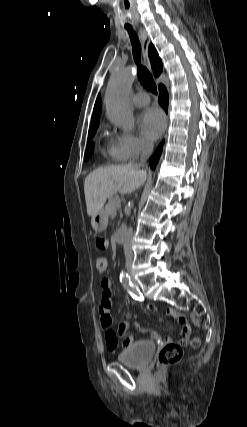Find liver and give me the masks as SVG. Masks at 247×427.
<instances>
[{
  "instance_id": "obj_1",
  "label": "liver",
  "mask_w": 247,
  "mask_h": 427,
  "mask_svg": "<svg viewBox=\"0 0 247 427\" xmlns=\"http://www.w3.org/2000/svg\"><path fill=\"white\" fill-rule=\"evenodd\" d=\"M146 178V171L134 164L97 168L84 181L87 214L93 218L109 197L118 191L124 194L134 192Z\"/></svg>"
}]
</instances>
